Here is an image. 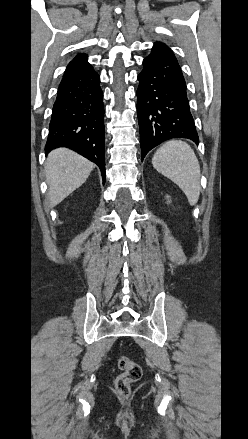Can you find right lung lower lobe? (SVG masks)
Segmentation results:
<instances>
[{"label":"right lung lower lobe","instance_id":"obj_1","mask_svg":"<svg viewBox=\"0 0 248 439\" xmlns=\"http://www.w3.org/2000/svg\"><path fill=\"white\" fill-rule=\"evenodd\" d=\"M100 77L90 65L63 77L53 105L46 153L68 147L97 164L105 182L104 106Z\"/></svg>","mask_w":248,"mask_h":439}]
</instances>
